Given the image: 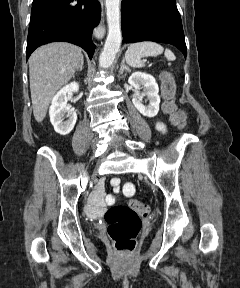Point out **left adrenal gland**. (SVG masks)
Masks as SVG:
<instances>
[{
	"instance_id": "obj_1",
	"label": "left adrenal gland",
	"mask_w": 240,
	"mask_h": 288,
	"mask_svg": "<svg viewBox=\"0 0 240 288\" xmlns=\"http://www.w3.org/2000/svg\"><path fill=\"white\" fill-rule=\"evenodd\" d=\"M124 70L130 71L129 67L125 64V59L123 58L121 62L120 70H119V75L123 74Z\"/></svg>"
}]
</instances>
